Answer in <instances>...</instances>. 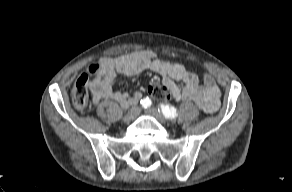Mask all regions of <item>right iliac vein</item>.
Returning <instances> with one entry per match:
<instances>
[{"instance_id":"1","label":"right iliac vein","mask_w":292,"mask_h":192,"mask_svg":"<svg viewBox=\"0 0 292 192\" xmlns=\"http://www.w3.org/2000/svg\"><path fill=\"white\" fill-rule=\"evenodd\" d=\"M140 113V108L138 106H133L128 113L124 116L123 121L124 122H130L137 118V116Z\"/></svg>"}]
</instances>
